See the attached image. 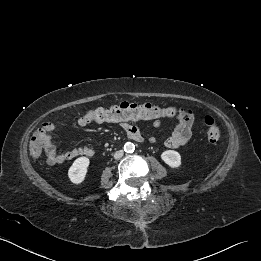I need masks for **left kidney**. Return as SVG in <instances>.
<instances>
[{
  "instance_id": "1",
  "label": "left kidney",
  "mask_w": 261,
  "mask_h": 261,
  "mask_svg": "<svg viewBox=\"0 0 261 261\" xmlns=\"http://www.w3.org/2000/svg\"><path fill=\"white\" fill-rule=\"evenodd\" d=\"M161 159L171 168H178L181 165V156L174 150L164 151Z\"/></svg>"
}]
</instances>
